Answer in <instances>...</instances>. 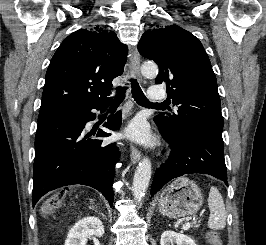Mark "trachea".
<instances>
[{"instance_id":"1","label":"trachea","mask_w":266,"mask_h":245,"mask_svg":"<svg viewBox=\"0 0 266 245\" xmlns=\"http://www.w3.org/2000/svg\"><path fill=\"white\" fill-rule=\"evenodd\" d=\"M131 88H132V94L134 99L137 103L150 106V105H163L164 102L161 104H152L144 95L143 91L139 87V84L136 80L131 79ZM126 88L119 87L117 88V98L115 99L114 103H120L124 100L125 97Z\"/></svg>"}]
</instances>
